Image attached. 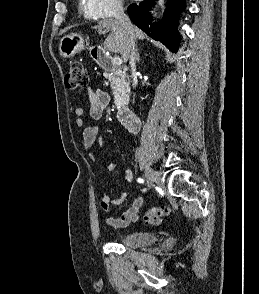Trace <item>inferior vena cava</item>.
<instances>
[{
	"instance_id": "1",
	"label": "inferior vena cava",
	"mask_w": 259,
	"mask_h": 294,
	"mask_svg": "<svg viewBox=\"0 0 259 294\" xmlns=\"http://www.w3.org/2000/svg\"><path fill=\"white\" fill-rule=\"evenodd\" d=\"M114 16L126 34L129 63L131 66L132 75L133 77H135V71H136V47L135 46L136 44H135L134 26L132 25L129 17L124 13L122 3H118Z\"/></svg>"
}]
</instances>
